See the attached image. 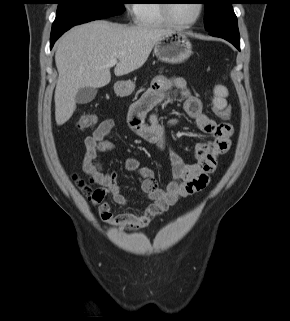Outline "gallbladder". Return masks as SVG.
<instances>
[{
    "instance_id": "obj_1",
    "label": "gallbladder",
    "mask_w": 290,
    "mask_h": 321,
    "mask_svg": "<svg viewBox=\"0 0 290 321\" xmlns=\"http://www.w3.org/2000/svg\"><path fill=\"white\" fill-rule=\"evenodd\" d=\"M97 94V89L92 87L80 88L76 94L75 100L79 104L91 102Z\"/></svg>"
}]
</instances>
